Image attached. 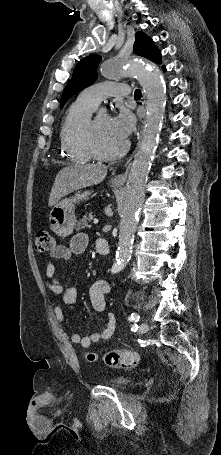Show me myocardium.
<instances>
[{"label": "myocardium", "mask_w": 221, "mask_h": 455, "mask_svg": "<svg viewBox=\"0 0 221 455\" xmlns=\"http://www.w3.org/2000/svg\"><path fill=\"white\" fill-rule=\"evenodd\" d=\"M86 145L90 155L101 161H110L123 156L129 149V142L126 140L120 148L113 152L105 153L100 151L96 142L95 119L90 120L86 130Z\"/></svg>", "instance_id": "f54148a6"}]
</instances>
